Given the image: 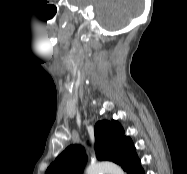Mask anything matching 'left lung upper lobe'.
<instances>
[{"label": "left lung upper lobe", "mask_w": 187, "mask_h": 174, "mask_svg": "<svg viewBox=\"0 0 187 174\" xmlns=\"http://www.w3.org/2000/svg\"><path fill=\"white\" fill-rule=\"evenodd\" d=\"M95 151L98 160L113 161L127 174L141 163L132 140L124 135V129L115 120L96 123ZM86 160L84 148L71 145L55 159L45 174H83Z\"/></svg>", "instance_id": "obj_1"}]
</instances>
